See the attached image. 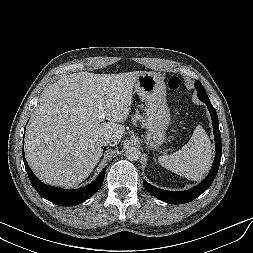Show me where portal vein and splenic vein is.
Returning <instances> with one entry per match:
<instances>
[{
    "label": "portal vein and splenic vein",
    "mask_w": 253,
    "mask_h": 253,
    "mask_svg": "<svg viewBox=\"0 0 253 253\" xmlns=\"http://www.w3.org/2000/svg\"><path fill=\"white\" fill-rule=\"evenodd\" d=\"M98 109H99L98 119L100 121H103L105 118V112H104V107L102 106V101L98 102Z\"/></svg>",
    "instance_id": "obj_1"
}]
</instances>
